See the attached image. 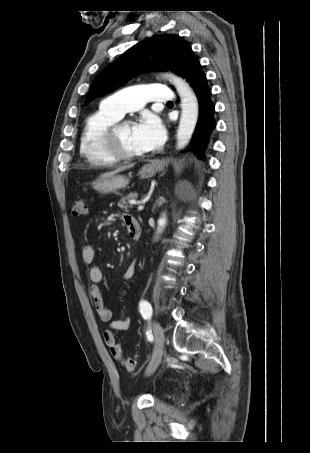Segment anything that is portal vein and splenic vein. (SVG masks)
<instances>
[{"instance_id":"portal-vein-and-splenic-vein-1","label":"portal vein and splenic vein","mask_w":310,"mask_h":453,"mask_svg":"<svg viewBox=\"0 0 310 453\" xmlns=\"http://www.w3.org/2000/svg\"><path fill=\"white\" fill-rule=\"evenodd\" d=\"M129 202H130V204H138V205H139V206H138V210H139V211L143 210V208H144V206L141 204V202L134 201V200H131V201H129Z\"/></svg>"}]
</instances>
